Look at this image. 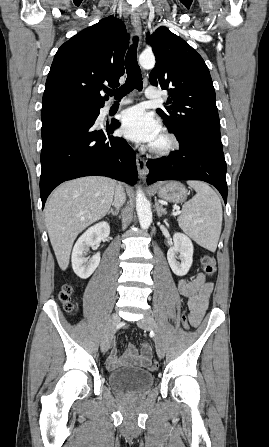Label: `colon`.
<instances>
[{
  "label": "colon",
  "mask_w": 269,
  "mask_h": 447,
  "mask_svg": "<svg viewBox=\"0 0 269 447\" xmlns=\"http://www.w3.org/2000/svg\"><path fill=\"white\" fill-rule=\"evenodd\" d=\"M201 265H202V269L205 273V275L207 276H212L214 275L215 271H216V262L215 259L209 255H203L202 256V260H201ZM74 287L71 285L65 286L61 292H60V298L64 303V308L66 311L68 312H73L75 310V305L74 303L71 301L72 295L74 293ZM181 325L184 326V330L186 332L190 331L189 328V317L186 315H181V320H180ZM143 355L145 356H150L152 354V350L150 347H145L142 350ZM147 370L149 371H155L157 369V364L156 362L150 361L148 363L145 364Z\"/></svg>",
  "instance_id": "colon-1"
}]
</instances>
